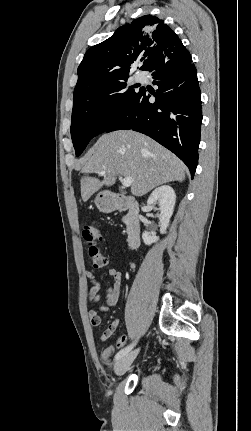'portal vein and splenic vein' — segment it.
I'll return each mask as SVG.
<instances>
[{"label":"portal vein and splenic vein","mask_w":251,"mask_h":431,"mask_svg":"<svg viewBox=\"0 0 251 431\" xmlns=\"http://www.w3.org/2000/svg\"><path fill=\"white\" fill-rule=\"evenodd\" d=\"M105 173H106L105 170H102L100 172L101 175H105ZM119 180L121 181V183L124 187H130L132 185V178L131 177H125V178L119 177Z\"/></svg>","instance_id":"1"}]
</instances>
